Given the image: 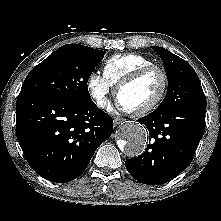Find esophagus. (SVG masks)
Wrapping results in <instances>:
<instances>
[{"label":"esophagus","mask_w":221,"mask_h":221,"mask_svg":"<svg viewBox=\"0 0 221 221\" xmlns=\"http://www.w3.org/2000/svg\"><path fill=\"white\" fill-rule=\"evenodd\" d=\"M123 121H124V119L120 118V117H115L114 120H113L115 126L119 125Z\"/></svg>","instance_id":"esophagus-1"}]
</instances>
